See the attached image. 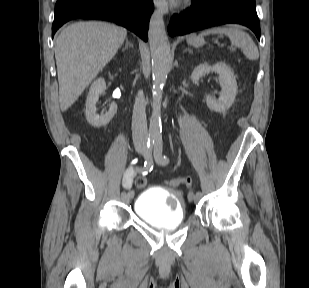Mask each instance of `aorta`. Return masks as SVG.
<instances>
[{
	"label": "aorta",
	"instance_id": "1",
	"mask_svg": "<svg viewBox=\"0 0 309 288\" xmlns=\"http://www.w3.org/2000/svg\"><path fill=\"white\" fill-rule=\"evenodd\" d=\"M166 6L167 4L164 2L161 8L153 12L148 29L153 77V103L149 136L153 140L161 138V99L170 66V44L163 20Z\"/></svg>",
	"mask_w": 309,
	"mask_h": 288
}]
</instances>
